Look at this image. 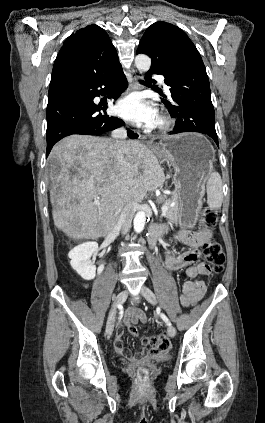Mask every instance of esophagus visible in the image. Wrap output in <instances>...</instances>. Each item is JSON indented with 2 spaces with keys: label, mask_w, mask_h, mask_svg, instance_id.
Wrapping results in <instances>:
<instances>
[{
  "label": "esophagus",
  "mask_w": 265,
  "mask_h": 423,
  "mask_svg": "<svg viewBox=\"0 0 265 423\" xmlns=\"http://www.w3.org/2000/svg\"><path fill=\"white\" fill-rule=\"evenodd\" d=\"M142 78V74L140 71L133 69L132 70V81H133V87H138L139 84L137 83L138 79Z\"/></svg>",
  "instance_id": "obj_1"
}]
</instances>
